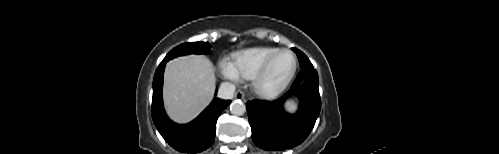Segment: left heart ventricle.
Here are the masks:
<instances>
[{
  "instance_id": "obj_1",
  "label": "left heart ventricle",
  "mask_w": 499,
  "mask_h": 154,
  "mask_svg": "<svg viewBox=\"0 0 499 154\" xmlns=\"http://www.w3.org/2000/svg\"><path fill=\"white\" fill-rule=\"evenodd\" d=\"M291 58L287 54H282L276 58L267 76L266 83L273 85L281 80L291 68Z\"/></svg>"
}]
</instances>
